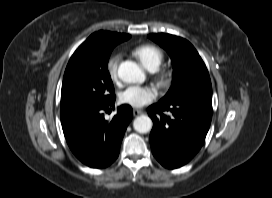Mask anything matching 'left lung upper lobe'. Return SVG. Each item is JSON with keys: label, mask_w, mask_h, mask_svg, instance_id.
<instances>
[{"label": "left lung upper lobe", "mask_w": 272, "mask_h": 198, "mask_svg": "<svg viewBox=\"0 0 272 198\" xmlns=\"http://www.w3.org/2000/svg\"><path fill=\"white\" fill-rule=\"evenodd\" d=\"M148 37L168 52L173 66L172 85L159 102L179 99L212 101L208 70L193 45L181 37L165 33L150 34Z\"/></svg>", "instance_id": "obj_1"}]
</instances>
